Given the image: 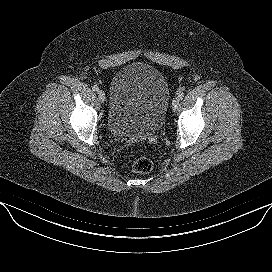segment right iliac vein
<instances>
[{
  "label": "right iliac vein",
  "instance_id": "63e3f726",
  "mask_svg": "<svg viewBox=\"0 0 272 272\" xmlns=\"http://www.w3.org/2000/svg\"><path fill=\"white\" fill-rule=\"evenodd\" d=\"M97 94H98L99 101L103 103L105 101V93H104V91L100 90V91H98Z\"/></svg>",
  "mask_w": 272,
  "mask_h": 272
}]
</instances>
